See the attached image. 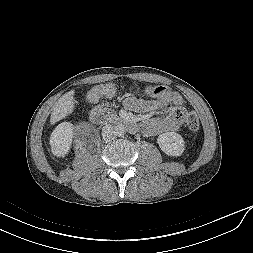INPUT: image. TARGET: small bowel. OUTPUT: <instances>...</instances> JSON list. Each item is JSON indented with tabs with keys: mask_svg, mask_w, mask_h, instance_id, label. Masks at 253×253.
<instances>
[{
	"mask_svg": "<svg viewBox=\"0 0 253 253\" xmlns=\"http://www.w3.org/2000/svg\"><path fill=\"white\" fill-rule=\"evenodd\" d=\"M152 97H154L152 100L131 97L125 101L128 109L138 113L169 110L168 116L164 118L153 117L145 120L142 125L144 134L151 136L178 130L186 114L183 98L177 92L170 90L160 96Z\"/></svg>",
	"mask_w": 253,
	"mask_h": 253,
	"instance_id": "obj_1",
	"label": "small bowel"
}]
</instances>
